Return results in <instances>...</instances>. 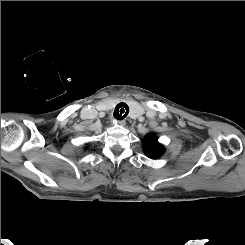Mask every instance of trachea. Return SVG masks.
Here are the masks:
<instances>
[{"instance_id":"obj_1","label":"trachea","mask_w":245,"mask_h":245,"mask_svg":"<svg viewBox=\"0 0 245 245\" xmlns=\"http://www.w3.org/2000/svg\"><path fill=\"white\" fill-rule=\"evenodd\" d=\"M129 114V106L126 103H119L114 111V117L118 120H123Z\"/></svg>"}]
</instances>
